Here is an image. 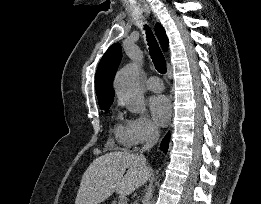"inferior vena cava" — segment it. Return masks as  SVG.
Wrapping results in <instances>:
<instances>
[{
  "label": "inferior vena cava",
  "mask_w": 261,
  "mask_h": 204,
  "mask_svg": "<svg viewBox=\"0 0 261 204\" xmlns=\"http://www.w3.org/2000/svg\"><path fill=\"white\" fill-rule=\"evenodd\" d=\"M159 139V131L157 127H151L149 129L146 142L144 146L142 147L141 151H149L158 141ZM140 161L142 162L143 165L146 164V158L143 154L138 155Z\"/></svg>",
  "instance_id": "1"
}]
</instances>
